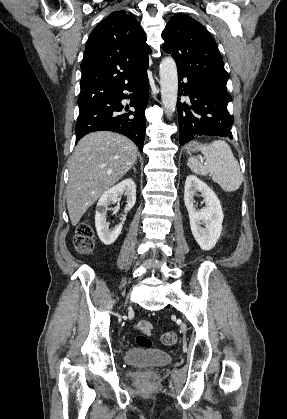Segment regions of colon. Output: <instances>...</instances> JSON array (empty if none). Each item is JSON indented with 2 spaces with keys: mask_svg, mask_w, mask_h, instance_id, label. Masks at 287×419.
<instances>
[{
  "mask_svg": "<svg viewBox=\"0 0 287 419\" xmlns=\"http://www.w3.org/2000/svg\"><path fill=\"white\" fill-rule=\"evenodd\" d=\"M74 245L77 251L80 253H88L93 249V231L88 224L83 223L78 227L74 238ZM177 341V334L172 331L165 332L161 336V342L165 346H174L177 343ZM136 343L139 347L143 348H150L152 345L150 338L146 335H138L136 338Z\"/></svg>",
  "mask_w": 287,
  "mask_h": 419,
  "instance_id": "5ec220e1",
  "label": "colon"
}]
</instances>
